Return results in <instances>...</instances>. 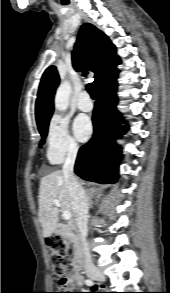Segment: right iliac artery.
<instances>
[{
  "label": "right iliac artery",
  "instance_id": "82829eb1",
  "mask_svg": "<svg viewBox=\"0 0 170 293\" xmlns=\"http://www.w3.org/2000/svg\"><path fill=\"white\" fill-rule=\"evenodd\" d=\"M85 283H86L88 286H92V285L95 284L94 281H93L92 279H87V280L85 281Z\"/></svg>",
  "mask_w": 170,
  "mask_h": 293
}]
</instances>
